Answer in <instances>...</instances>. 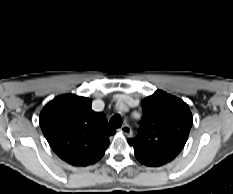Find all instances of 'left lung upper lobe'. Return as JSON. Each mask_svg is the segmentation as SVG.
<instances>
[{"label":"left lung upper lobe","mask_w":233,"mask_h":194,"mask_svg":"<svg viewBox=\"0 0 233 194\" xmlns=\"http://www.w3.org/2000/svg\"><path fill=\"white\" fill-rule=\"evenodd\" d=\"M143 122L138 135L128 139L139 162H171L183 149L193 118L181 99L157 90L142 100Z\"/></svg>","instance_id":"left-lung-upper-lobe-1"}]
</instances>
